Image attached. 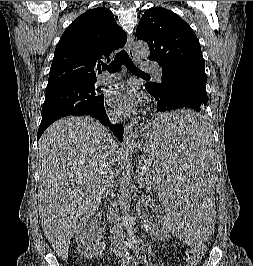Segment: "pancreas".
Listing matches in <instances>:
<instances>
[{
  "instance_id": "cf45deb5",
  "label": "pancreas",
  "mask_w": 253,
  "mask_h": 266,
  "mask_svg": "<svg viewBox=\"0 0 253 266\" xmlns=\"http://www.w3.org/2000/svg\"><path fill=\"white\" fill-rule=\"evenodd\" d=\"M145 179H146L147 184L150 185V184H149V180H148V178H145Z\"/></svg>"
}]
</instances>
